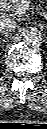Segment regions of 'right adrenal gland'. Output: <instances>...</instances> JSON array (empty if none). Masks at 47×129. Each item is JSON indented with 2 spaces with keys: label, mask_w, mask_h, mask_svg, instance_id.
I'll list each match as a JSON object with an SVG mask.
<instances>
[{
  "label": "right adrenal gland",
  "mask_w": 47,
  "mask_h": 129,
  "mask_svg": "<svg viewBox=\"0 0 47 129\" xmlns=\"http://www.w3.org/2000/svg\"><path fill=\"white\" fill-rule=\"evenodd\" d=\"M0 35H5L6 37H8V32H4V31H0Z\"/></svg>",
  "instance_id": "2a0ac1e0"
}]
</instances>
